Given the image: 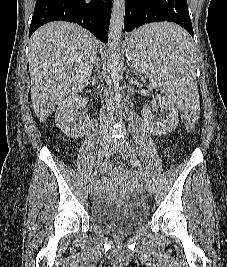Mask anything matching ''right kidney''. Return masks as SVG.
Wrapping results in <instances>:
<instances>
[{
  "label": "right kidney",
  "mask_w": 227,
  "mask_h": 267,
  "mask_svg": "<svg viewBox=\"0 0 227 267\" xmlns=\"http://www.w3.org/2000/svg\"><path fill=\"white\" fill-rule=\"evenodd\" d=\"M81 101V96L72 94L61 101L55 113L57 127L71 138L83 137L90 124V117L87 114L81 117L77 115V108Z\"/></svg>",
  "instance_id": "right-kidney-1"
}]
</instances>
